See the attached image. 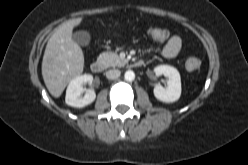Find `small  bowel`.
I'll return each instance as SVG.
<instances>
[{
    "label": "small bowel",
    "instance_id": "small-bowel-1",
    "mask_svg": "<svg viewBox=\"0 0 248 165\" xmlns=\"http://www.w3.org/2000/svg\"><path fill=\"white\" fill-rule=\"evenodd\" d=\"M182 48V39L179 36H171L167 39L163 50L162 55L165 58L171 59L175 58Z\"/></svg>",
    "mask_w": 248,
    "mask_h": 165
}]
</instances>
